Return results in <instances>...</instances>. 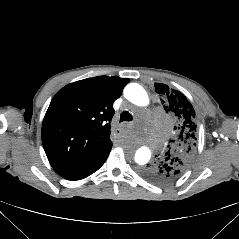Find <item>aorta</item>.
I'll return each mask as SVG.
<instances>
[{
	"instance_id": "762f6f07",
	"label": "aorta",
	"mask_w": 239,
	"mask_h": 239,
	"mask_svg": "<svg viewBox=\"0 0 239 239\" xmlns=\"http://www.w3.org/2000/svg\"><path fill=\"white\" fill-rule=\"evenodd\" d=\"M124 96L128 101L137 106H146L149 103V98L145 89L136 83L128 84L124 89ZM154 151L153 144L149 146H141L136 149L132 159L139 166H144L151 159L152 152Z\"/></svg>"
}]
</instances>
